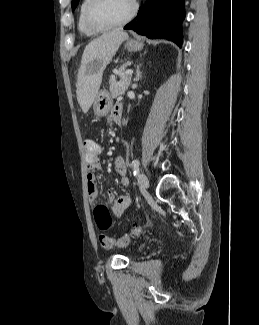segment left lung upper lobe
<instances>
[{"mask_svg":"<svg viewBox=\"0 0 259 325\" xmlns=\"http://www.w3.org/2000/svg\"><path fill=\"white\" fill-rule=\"evenodd\" d=\"M79 0H72V10H74L78 4Z\"/></svg>","mask_w":259,"mask_h":325,"instance_id":"1","label":"left lung upper lobe"}]
</instances>
